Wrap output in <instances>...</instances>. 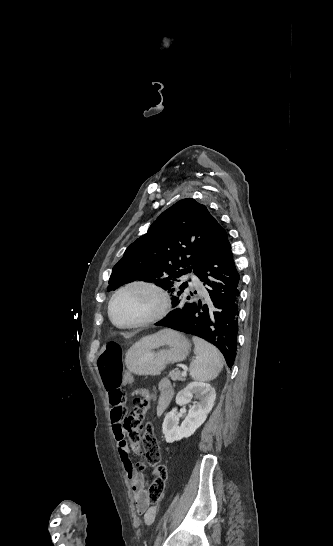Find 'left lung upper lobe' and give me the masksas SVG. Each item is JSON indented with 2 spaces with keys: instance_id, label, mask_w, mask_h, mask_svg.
Returning <instances> with one entry per match:
<instances>
[{
  "instance_id": "obj_1",
  "label": "left lung upper lobe",
  "mask_w": 333,
  "mask_h": 546,
  "mask_svg": "<svg viewBox=\"0 0 333 546\" xmlns=\"http://www.w3.org/2000/svg\"><path fill=\"white\" fill-rule=\"evenodd\" d=\"M217 224L207 208L194 199L175 203L126 249L112 269L108 291L129 282L147 281L168 290L174 298L188 286L185 282L178 287V278L194 270L206 254Z\"/></svg>"
}]
</instances>
